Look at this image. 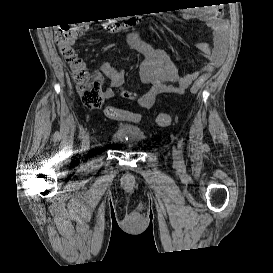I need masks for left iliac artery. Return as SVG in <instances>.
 <instances>
[{
    "label": "left iliac artery",
    "mask_w": 273,
    "mask_h": 273,
    "mask_svg": "<svg viewBox=\"0 0 273 273\" xmlns=\"http://www.w3.org/2000/svg\"><path fill=\"white\" fill-rule=\"evenodd\" d=\"M178 153H179L180 156L183 155V142H182V140L178 141Z\"/></svg>",
    "instance_id": "obj_1"
}]
</instances>
